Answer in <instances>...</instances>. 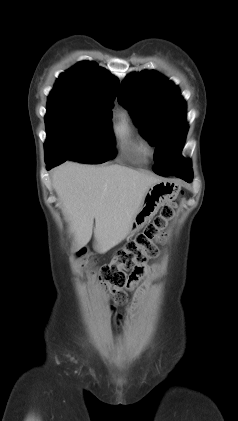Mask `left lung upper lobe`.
Wrapping results in <instances>:
<instances>
[{"mask_svg": "<svg viewBox=\"0 0 238 421\" xmlns=\"http://www.w3.org/2000/svg\"><path fill=\"white\" fill-rule=\"evenodd\" d=\"M118 101L128 109L141 134L156 146L154 172L166 175L191 167L189 160L180 158L188 128L186 103L178 87L154 71L132 73L122 82Z\"/></svg>", "mask_w": 238, "mask_h": 421, "instance_id": "left-lung-upper-lobe-1", "label": "left lung upper lobe"}]
</instances>
